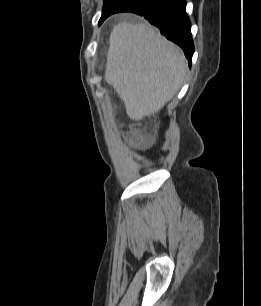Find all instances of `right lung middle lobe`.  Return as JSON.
Segmentation results:
<instances>
[{
	"label": "right lung middle lobe",
	"mask_w": 261,
	"mask_h": 306,
	"mask_svg": "<svg viewBox=\"0 0 261 306\" xmlns=\"http://www.w3.org/2000/svg\"><path fill=\"white\" fill-rule=\"evenodd\" d=\"M129 1L130 0H109V1H104L102 16H104L107 13L112 12V11L122 7L123 5H125Z\"/></svg>",
	"instance_id": "1"
}]
</instances>
